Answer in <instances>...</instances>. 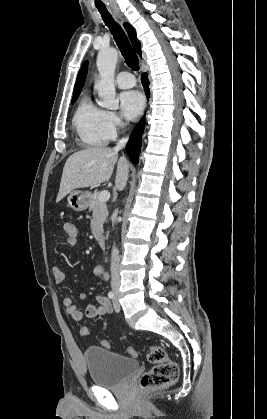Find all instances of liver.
I'll use <instances>...</instances> for the list:
<instances>
[{
  "mask_svg": "<svg viewBox=\"0 0 267 419\" xmlns=\"http://www.w3.org/2000/svg\"><path fill=\"white\" fill-rule=\"evenodd\" d=\"M117 163L115 185L122 190L127 182L129 164L118 160V151L107 147H90L72 154L63 168L57 201L77 188H86L108 181Z\"/></svg>",
  "mask_w": 267,
  "mask_h": 419,
  "instance_id": "6515ba94",
  "label": "liver"
}]
</instances>
